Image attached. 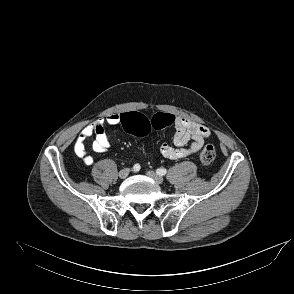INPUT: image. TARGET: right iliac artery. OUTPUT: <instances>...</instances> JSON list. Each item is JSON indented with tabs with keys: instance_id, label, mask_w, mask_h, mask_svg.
Returning <instances> with one entry per match:
<instances>
[{
	"instance_id": "1",
	"label": "right iliac artery",
	"mask_w": 294,
	"mask_h": 294,
	"mask_svg": "<svg viewBox=\"0 0 294 294\" xmlns=\"http://www.w3.org/2000/svg\"><path fill=\"white\" fill-rule=\"evenodd\" d=\"M140 170V165L139 164H135L134 166H133V171L134 172H138Z\"/></svg>"
}]
</instances>
